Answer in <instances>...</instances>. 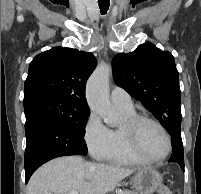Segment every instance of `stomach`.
<instances>
[{"label": "stomach", "instance_id": "1", "mask_svg": "<svg viewBox=\"0 0 201 194\" xmlns=\"http://www.w3.org/2000/svg\"><path fill=\"white\" fill-rule=\"evenodd\" d=\"M132 183L137 194H152L160 187L162 176L152 168H142L134 174Z\"/></svg>", "mask_w": 201, "mask_h": 194}]
</instances>
